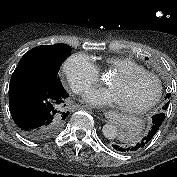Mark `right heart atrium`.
Returning a JSON list of instances; mask_svg holds the SVG:
<instances>
[{"instance_id": "obj_1", "label": "right heart atrium", "mask_w": 177, "mask_h": 177, "mask_svg": "<svg viewBox=\"0 0 177 177\" xmlns=\"http://www.w3.org/2000/svg\"><path fill=\"white\" fill-rule=\"evenodd\" d=\"M63 72L75 93L87 91L100 80L97 65L83 53L69 56L63 64Z\"/></svg>"}]
</instances>
